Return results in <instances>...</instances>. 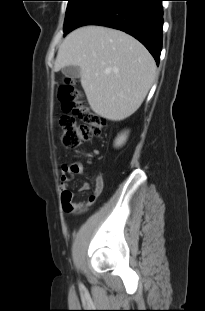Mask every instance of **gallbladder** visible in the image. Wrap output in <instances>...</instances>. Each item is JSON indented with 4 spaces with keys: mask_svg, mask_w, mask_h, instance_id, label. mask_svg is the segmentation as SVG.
I'll return each instance as SVG.
<instances>
[{
    "mask_svg": "<svg viewBox=\"0 0 205 311\" xmlns=\"http://www.w3.org/2000/svg\"><path fill=\"white\" fill-rule=\"evenodd\" d=\"M62 73L71 79H76L81 76V69L79 66H67L62 69Z\"/></svg>",
    "mask_w": 205,
    "mask_h": 311,
    "instance_id": "gallbladder-1",
    "label": "gallbladder"
}]
</instances>
